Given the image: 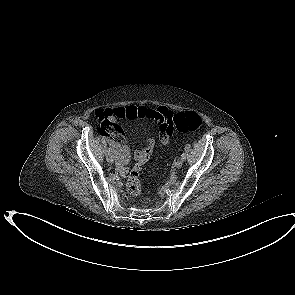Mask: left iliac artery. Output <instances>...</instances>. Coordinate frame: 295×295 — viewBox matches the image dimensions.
I'll list each match as a JSON object with an SVG mask.
<instances>
[{"label": "left iliac artery", "instance_id": "1", "mask_svg": "<svg viewBox=\"0 0 295 295\" xmlns=\"http://www.w3.org/2000/svg\"><path fill=\"white\" fill-rule=\"evenodd\" d=\"M181 159H182V160L186 159V154H185V153H182V155H181Z\"/></svg>", "mask_w": 295, "mask_h": 295}]
</instances>
